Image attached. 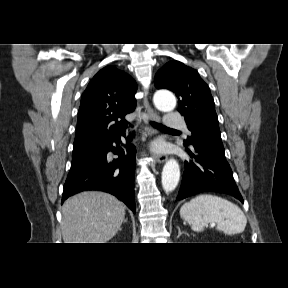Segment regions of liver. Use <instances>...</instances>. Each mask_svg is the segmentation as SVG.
Wrapping results in <instances>:
<instances>
[{
    "instance_id": "obj_1",
    "label": "liver",
    "mask_w": 288,
    "mask_h": 288,
    "mask_svg": "<svg viewBox=\"0 0 288 288\" xmlns=\"http://www.w3.org/2000/svg\"><path fill=\"white\" fill-rule=\"evenodd\" d=\"M125 218V205L116 197L86 191L67 199L62 206L64 243H106Z\"/></svg>"
}]
</instances>
